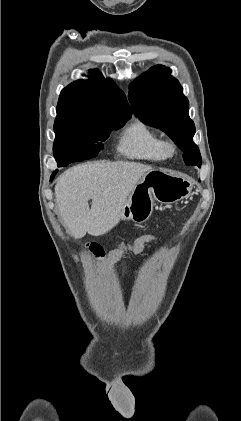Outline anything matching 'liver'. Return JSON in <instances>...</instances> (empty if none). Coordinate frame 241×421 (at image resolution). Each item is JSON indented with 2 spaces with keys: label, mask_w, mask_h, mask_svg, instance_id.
Segmentation results:
<instances>
[{
  "label": "liver",
  "mask_w": 241,
  "mask_h": 421,
  "mask_svg": "<svg viewBox=\"0 0 241 421\" xmlns=\"http://www.w3.org/2000/svg\"><path fill=\"white\" fill-rule=\"evenodd\" d=\"M153 168L136 162H90L65 171L55 186L56 205L70 235H103L120 221V212L141 177ZM92 200L91 208L89 200Z\"/></svg>",
  "instance_id": "obj_1"
}]
</instances>
